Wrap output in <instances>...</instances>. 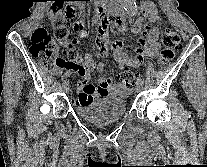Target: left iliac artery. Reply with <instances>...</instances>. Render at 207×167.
Masks as SVG:
<instances>
[{"instance_id":"44dca946","label":"left iliac artery","mask_w":207,"mask_h":167,"mask_svg":"<svg viewBox=\"0 0 207 167\" xmlns=\"http://www.w3.org/2000/svg\"><path fill=\"white\" fill-rule=\"evenodd\" d=\"M137 82H140L141 84H143V80L140 77L137 78Z\"/></svg>"}]
</instances>
